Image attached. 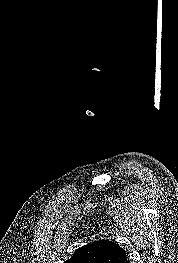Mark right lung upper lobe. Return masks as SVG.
Instances as JSON below:
<instances>
[{
  "instance_id": "1",
  "label": "right lung upper lobe",
  "mask_w": 178,
  "mask_h": 263,
  "mask_svg": "<svg viewBox=\"0 0 178 263\" xmlns=\"http://www.w3.org/2000/svg\"><path fill=\"white\" fill-rule=\"evenodd\" d=\"M65 263H130L117 243L99 240L78 248Z\"/></svg>"
}]
</instances>
